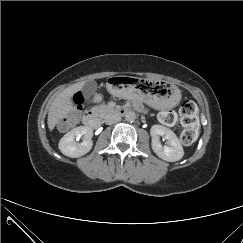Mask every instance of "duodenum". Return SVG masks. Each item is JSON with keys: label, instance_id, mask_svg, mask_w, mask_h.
<instances>
[{"label": "duodenum", "instance_id": "obj_1", "mask_svg": "<svg viewBox=\"0 0 243 243\" xmlns=\"http://www.w3.org/2000/svg\"><path fill=\"white\" fill-rule=\"evenodd\" d=\"M128 112V108H100L96 110H90L84 115L83 122L87 127L96 129L100 126L102 118L105 115L115 114L123 116Z\"/></svg>", "mask_w": 243, "mask_h": 243}]
</instances>
